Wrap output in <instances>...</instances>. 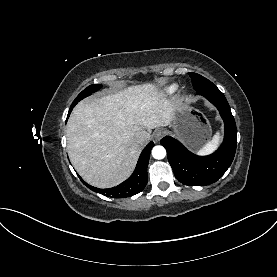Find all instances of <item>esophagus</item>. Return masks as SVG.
I'll return each instance as SVG.
<instances>
[{
    "label": "esophagus",
    "mask_w": 277,
    "mask_h": 277,
    "mask_svg": "<svg viewBox=\"0 0 277 277\" xmlns=\"http://www.w3.org/2000/svg\"><path fill=\"white\" fill-rule=\"evenodd\" d=\"M165 134L166 132L163 129H158L154 132L153 137L156 141H159Z\"/></svg>",
    "instance_id": "obj_1"
}]
</instances>
